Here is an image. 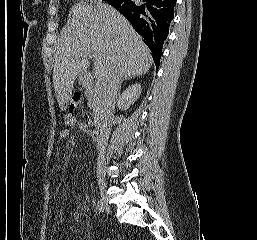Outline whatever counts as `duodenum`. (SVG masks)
I'll return each mask as SVG.
<instances>
[{"label":"duodenum","mask_w":257,"mask_h":240,"mask_svg":"<svg viewBox=\"0 0 257 240\" xmlns=\"http://www.w3.org/2000/svg\"><path fill=\"white\" fill-rule=\"evenodd\" d=\"M108 135V128L103 122H97L93 131V141L100 148L104 145Z\"/></svg>","instance_id":"duodenum-1"}]
</instances>
